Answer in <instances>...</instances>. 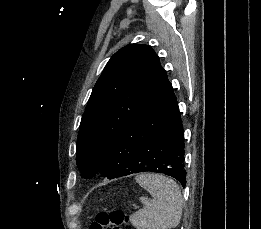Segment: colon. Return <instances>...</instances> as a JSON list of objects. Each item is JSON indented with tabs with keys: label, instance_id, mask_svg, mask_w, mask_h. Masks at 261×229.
Returning <instances> with one entry per match:
<instances>
[{
	"label": "colon",
	"instance_id": "1",
	"mask_svg": "<svg viewBox=\"0 0 261 229\" xmlns=\"http://www.w3.org/2000/svg\"><path fill=\"white\" fill-rule=\"evenodd\" d=\"M128 223V215L119 209H115L110 212H99L90 224L89 229H125Z\"/></svg>",
	"mask_w": 261,
	"mask_h": 229
}]
</instances>
